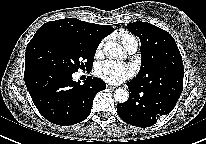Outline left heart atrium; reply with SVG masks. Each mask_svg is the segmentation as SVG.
I'll return each instance as SVG.
<instances>
[{"instance_id": "obj_1", "label": "left heart atrium", "mask_w": 206, "mask_h": 144, "mask_svg": "<svg viewBox=\"0 0 206 144\" xmlns=\"http://www.w3.org/2000/svg\"><path fill=\"white\" fill-rule=\"evenodd\" d=\"M96 74L105 82L117 85L130 79L134 74V70L129 64L105 61L99 64Z\"/></svg>"}]
</instances>
